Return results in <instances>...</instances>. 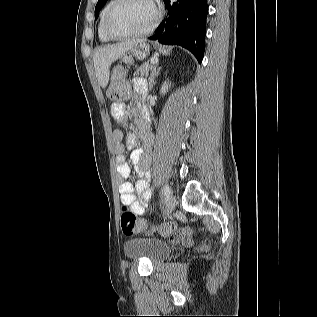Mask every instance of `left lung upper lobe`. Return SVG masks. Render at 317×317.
Here are the masks:
<instances>
[{
	"label": "left lung upper lobe",
	"instance_id": "obj_1",
	"mask_svg": "<svg viewBox=\"0 0 317 317\" xmlns=\"http://www.w3.org/2000/svg\"><path fill=\"white\" fill-rule=\"evenodd\" d=\"M106 2L107 0H98V3L95 7V19L97 18L99 11L101 10V8L104 6Z\"/></svg>",
	"mask_w": 317,
	"mask_h": 317
}]
</instances>
